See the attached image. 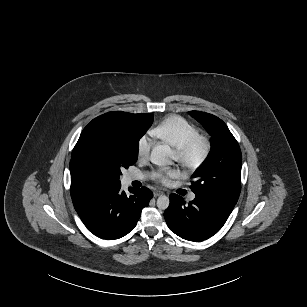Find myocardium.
Wrapping results in <instances>:
<instances>
[{"label": "myocardium", "instance_id": "obj_1", "mask_svg": "<svg viewBox=\"0 0 307 307\" xmlns=\"http://www.w3.org/2000/svg\"><path fill=\"white\" fill-rule=\"evenodd\" d=\"M211 152V142L203 136H196L180 148L173 149L176 160L186 169H199Z\"/></svg>", "mask_w": 307, "mask_h": 307}]
</instances>
